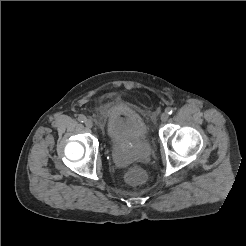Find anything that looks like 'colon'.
Segmentation results:
<instances>
[{
    "mask_svg": "<svg viewBox=\"0 0 246 246\" xmlns=\"http://www.w3.org/2000/svg\"><path fill=\"white\" fill-rule=\"evenodd\" d=\"M125 179L132 185L141 184L146 179V173L140 168H133L126 173Z\"/></svg>",
    "mask_w": 246,
    "mask_h": 246,
    "instance_id": "obj_1",
    "label": "colon"
}]
</instances>
